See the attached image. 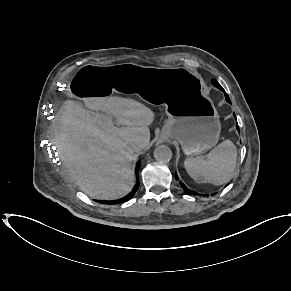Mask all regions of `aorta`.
Listing matches in <instances>:
<instances>
[{"instance_id": "762f6f07", "label": "aorta", "mask_w": 291, "mask_h": 291, "mask_svg": "<svg viewBox=\"0 0 291 291\" xmlns=\"http://www.w3.org/2000/svg\"><path fill=\"white\" fill-rule=\"evenodd\" d=\"M154 157L159 162H169L172 158V151L168 146L161 145L155 149Z\"/></svg>"}]
</instances>
